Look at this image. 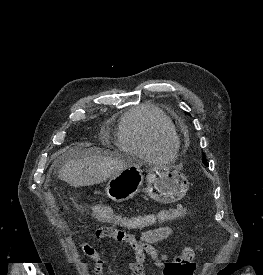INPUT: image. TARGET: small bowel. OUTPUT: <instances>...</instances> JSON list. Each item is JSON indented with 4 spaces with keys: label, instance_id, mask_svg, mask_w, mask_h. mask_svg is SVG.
<instances>
[{
    "label": "small bowel",
    "instance_id": "obj_1",
    "mask_svg": "<svg viewBox=\"0 0 263 275\" xmlns=\"http://www.w3.org/2000/svg\"><path fill=\"white\" fill-rule=\"evenodd\" d=\"M116 232L115 228L103 227L95 232V236L97 238L109 237L129 245L133 252V261L130 263L131 275H146L144 265L147 259L151 260L161 275H169L167 267L172 259L156 248L155 244L164 241L173 233L171 226H157L141 232L139 238L130 234L127 239L122 240L116 239ZM80 246L84 254L94 261L93 273L101 275L104 261L98 251L87 242H81ZM194 268L187 275H193Z\"/></svg>",
    "mask_w": 263,
    "mask_h": 275
}]
</instances>
